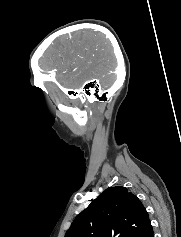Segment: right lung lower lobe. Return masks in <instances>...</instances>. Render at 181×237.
I'll return each mask as SVG.
<instances>
[{
    "instance_id": "98d812e1",
    "label": "right lung lower lobe",
    "mask_w": 181,
    "mask_h": 237,
    "mask_svg": "<svg viewBox=\"0 0 181 237\" xmlns=\"http://www.w3.org/2000/svg\"><path fill=\"white\" fill-rule=\"evenodd\" d=\"M150 237H154V234L152 233V234L150 235Z\"/></svg>"
}]
</instances>
